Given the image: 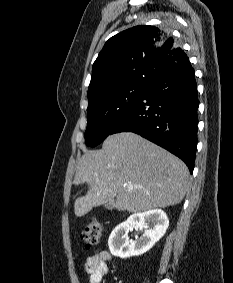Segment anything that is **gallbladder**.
<instances>
[{"label":"gallbladder","instance_id":"gallbladder-1","mask_svg":"<svg viewBox=\"0 0 233 283\" xmlns=\"http://www.w3.org/2000/svg\"><path fill=\"white\" fill-rule=\"evenodd\" d=\"M114 203H115V200L113 199L110 203L106 204V207L108 209H113L114 208Z\"/></svg>","mask_w":233,"mask_h":283}]
</instances>
